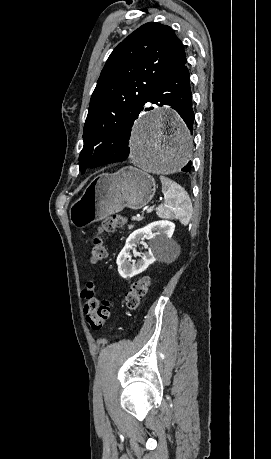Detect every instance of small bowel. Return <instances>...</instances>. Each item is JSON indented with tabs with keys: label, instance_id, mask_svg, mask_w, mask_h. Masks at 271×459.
<instances>
[{
	"label": "small bowel",
	"instance_id": "obj_1",
	"mask_svg": "<svg viewBox=\"0 0 271 459\" xmlns=\"http://www.w3.org/2000/svg\"><path fill=\"white\" fill-rule=\"evenodd\" d=\"M95 294H96V292H95V283H94L93 280H89L86 283L84 290L82 291V298L87 303L90 298L95 296ZM86 303H85L84 307H86Z\"/></svg>",
	"mask_w": 271,
	"mask_h": 459
}]
</instances>
